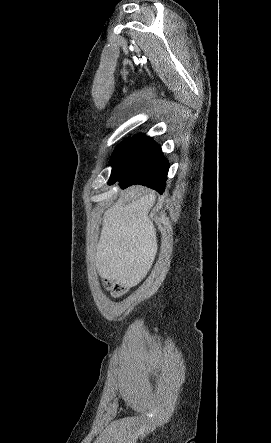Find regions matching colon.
Returning <instances> with one entry per match:
<instances>
[{
  "instance_id": "1",
  "label": "colon",
  "mask_w": 271,
  "mask_h": 443,
  "mask_svg": "<svg viewBox=\"0 0 271 443\" xmlns=\"http://www.w3.org/2000/svg\"><path fill=\"white\" fill-rule=\"evenodd\" d=\"M105 288L116 297L124 295L129 288L128 283L122 280H107L104 283Z\"/></svg>"
}]
</instances>
